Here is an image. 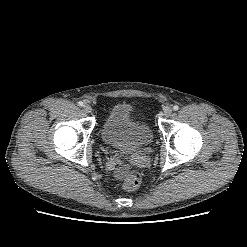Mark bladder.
<instances>
[{
  "label": "bladder",
  "instance_id": "1",
  "mask_svg": "<svg viewBox=\"0 0 247 247\" xmlns=\"http://www.w3.org/2000/svg\"><path fill=\"white\" fill-rule=\"evenodd\" d=\"M101 138L109 147L132 154L149 146L153 140L150 126L137 118L128 104L114 105L101 126Z\"/></svg>",
  "mask_w": 247,
  "mask_h": 247
}]
</instances>
